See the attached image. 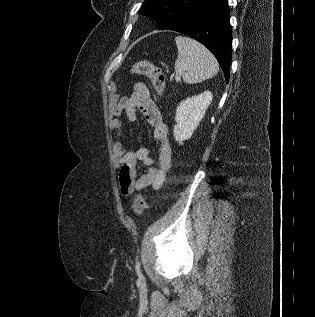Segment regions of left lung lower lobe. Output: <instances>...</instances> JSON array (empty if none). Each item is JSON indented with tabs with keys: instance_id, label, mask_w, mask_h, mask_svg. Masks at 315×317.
Here are the masks:
<instances>
[{
	"instance_id": "obj_1",
	"label": "left lung lower lobe",
	"mask_w": 315,
	"mask_h": 317,
	"mask_svg": "<svg viewBox=\"0 0 315 317\" xmlns=\"http://www.w3.org/2000/svg\"><path fill=\"white\" fill-rule=\"evenodd\" d=\"M168 29L190 36L207 47L218 60L228 83L232 48L228 0H198Z\"/></svg>"
}]
</instances>
